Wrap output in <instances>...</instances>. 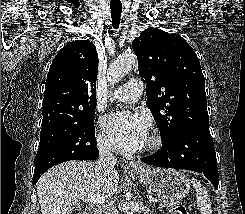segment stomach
Returning a JSON list of instances; mask_svg holds the SVG:
<instances>
[{"label":"stomach","instance_id":"stomach-1","mask_svg":"<svg viewBox=\"0 0 245 214\" xmlns=\"http://www.w3.org/2000/svg\"><path fill=\"white\" fill-rule=\"evenodd\" d=\"M135 174L150 190L170 202L184 198L190 190L188 178L177 169L146 168Z\"/></svg>","mask_w":245,"mask_h":214}]
</instances>
